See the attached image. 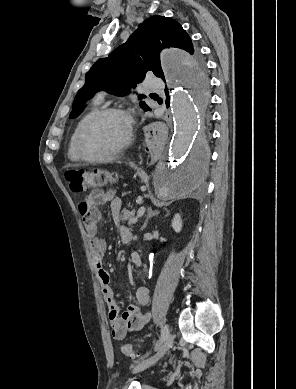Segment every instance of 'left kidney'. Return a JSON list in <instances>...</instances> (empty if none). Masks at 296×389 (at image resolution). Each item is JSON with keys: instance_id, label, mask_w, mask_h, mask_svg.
<instances>
[{"instance_id": "obj_1", "label": "left kidney", "mask_w": 296, "mask_h": 389, "mask_svg": "<svg viewBox=\"0 0 296 389\" xmlns=\"http://www.w3.org/2000/svg\"><path fill=\"white\" fill-rule=\"evenodd\" d=\"M182 219L180 214H175L172 220V228L175 232L179 233L182 229Z\"/></svg>"}]
</instances>
